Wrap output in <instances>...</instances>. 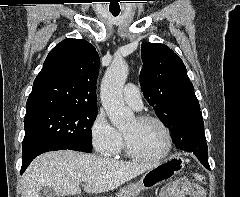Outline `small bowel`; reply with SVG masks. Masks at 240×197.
Listing matches in <instances>:
<instances>
[{
  "mask_svg": "<svg viewBox=\"0 0 240 197\" xmlns=\"http://www.w3.org/2000/svg\"><path fill=\"white\" fill-rule=\"evenodd\" d=\"M163 197H205V191L200 185L184 180L169 186Z\"/></svg>",
  "mask_w": 240,
  "mask_h": 197,
  "instance_id": "1",
  "label": "small bowel"
}]
</instances>
